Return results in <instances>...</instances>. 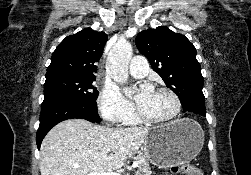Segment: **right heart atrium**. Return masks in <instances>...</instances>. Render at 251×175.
<instances>
[{
    "instance_id": "1",
    "label": "right heart atrium",
    "mask_w": 251,
    "mask_h": 175,
    "mask_svg": "<svg viewBox=\"0 0 251 175\" xmlns=\"http://www.w3.org/2000/svg\"><path fill=\"white\" fill-rule=\"evenodd\" d=\"M97 103L102 117L112 123H127L137 115L135 108L126 102L118 88L111 84L102 88Z\"/></svg>"
}]
</instances>
